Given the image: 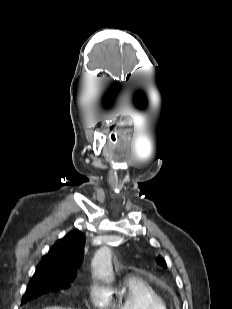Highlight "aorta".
Segmentation results:
<instances>
[{
  "instance_id": "1",
  "label": "aorta",
  "mask_w": 232,
  "mask_h": 309,
  "mask_svg": "<svg viewBox=\"0 0 232 309\" xmlns=\"http://www.w3.org/2000/svg\"><path fill=\"white\" fill-rule=\"evenodd\" d=\"M92 267L96 277L105 281H111L113 279L111 249L109 247H102L95 253Z\"/></svg>"
}]
</instances>
